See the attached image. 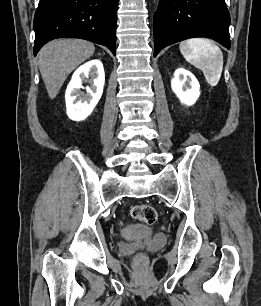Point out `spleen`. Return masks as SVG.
Listing matches in <instances>:
<instances>
[{
  "instance_id": "1",
  "label": "spleen",
  "mask_w": 261,
  "mask_h": 306,
  "mask_svg": "<svg viewBox=\"0 0 261 306\" xmlns=\"http://www.w3.org/2000/svg\"><path fill=\"white\" fill-rule=\"evenodd\" d=\"M179 49L186 61L203 71L209 85L218 84L223 70V53L214 42L192 38L181 42Z\"/></svg>"
}]
</instances>
